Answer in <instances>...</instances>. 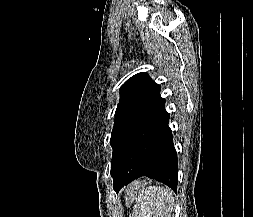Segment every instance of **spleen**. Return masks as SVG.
<instances>
[{"instance_id": "obj_1", "label": "spleen", "mask_w": 253, "mask_h": 217, "mask_svg": "<svg viewBox=\"0 0 253 217\" xmlns=\"http://www.w3.org/2000/svg\"><path fill=\"white\" fill-rule=\"evenodd\" d=\"M132 217H171L174 205L173 192L170 188L149 186L142 190L136 197V193L128 195L127 204L133 201Z\"/></svg>"}]
</instances>
